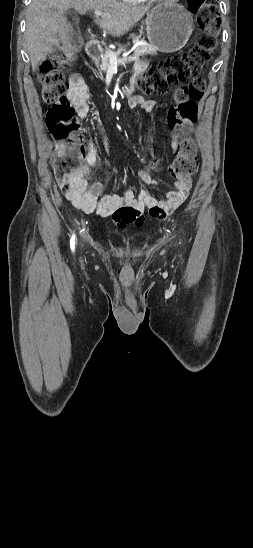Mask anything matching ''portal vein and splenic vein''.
I'll return each mask as SVG.
<instances>
[{"label":"portal vein and splenic vein","mask_w":253,"mask_h":548,"mask_svg":"<svg viewBox=\"0 0 253 548\" xmlns=\"http://www.w3.org/2000/svg\"><path fill=\"white\" fill-rule=\"evenodd\" d=\"M95 16L96 17H99L102 15V12L99 11V10H95L94 12ZM107 52L109 53V56H110V62H111V65L113 66H117L118 64H124L126 62H131V61H134V60H137L138 57L136 56H129V57H125V58H122V59H118L110 50H107Z\"/></svg>","instance_id":"portal-vein-and-splenic-vein-1"}]
</instances>
